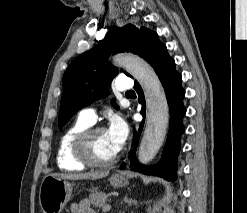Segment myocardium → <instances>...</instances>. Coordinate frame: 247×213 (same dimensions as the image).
I'll use <instances>...</instances> for the list:
<instances>
[{"label":"myocardium","mask_w":247,"mask_h":213,"mask_svg":"<svg viewBox=\"0 0 247 213\" xmlns=\"http://www.w3.org/2000/svg\"><path fill=\"white\" fill-rule=\"evenodd\" d=\"M101 131H105V128L101 126H91L79 132L73 140V155L76 160L85 166L107 167L113 165L118 159L117 154H115L111 159L105 161L97 160L92 156L90 151L92 139Z\"/></svg>","instance_id":"obj_1"}]
</instances>
